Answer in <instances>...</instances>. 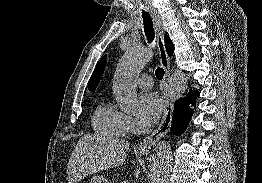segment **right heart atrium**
Returning a JSON list of instances; mask_svg holds the SVG:
<instances>
[{
  "label": "right heart atrium",
  "mask_w": 262,
  "mask_h": 183,
  "mask_svg": "<svg viewBox=\"0 0 262 183\" xmlns=\"http://www.w3.org/2000/svg\"><path fill=\"white\" fill-rule=\"evenodd\" d=\"M126 126L128 129V132H134L137 129V124L135 120L131 117L126 115Z\"/></svg>",
  "instance_id": "1"
}]
</instances>
